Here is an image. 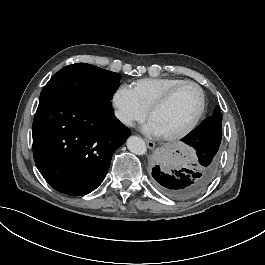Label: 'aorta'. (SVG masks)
Returning a JSON list of instances; mask_svg holds the SVG:
<instances>
[{
  "label": "aorta",
  "mask_w": 265,
  "mask_h": 265,
  "mask_svg": "<svg viewBox=\"0 0 265 265\" xmlns=\"http://www.w3.org/2000/svg\"><path fill=\"white\" fill-rule=\"evenodd\" d=\"M127 147L131 153L138 156H143L147 152L145 141L136 136H132L128 139Z\"/></svg>",
  "instance_id": "1"
}]
</instances>
